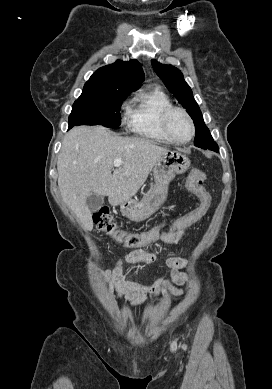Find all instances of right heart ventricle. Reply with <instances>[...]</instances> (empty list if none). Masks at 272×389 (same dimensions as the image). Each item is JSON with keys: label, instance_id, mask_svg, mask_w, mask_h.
Returning a JSON list of instances; mask_svg holds the SVG:
<instances>
[{"label": "right heart ventricle", "instance_id": "obj_1", "mask_svg": "<svg viewBox=\"0 0 272 389\" xmlns=\"http://www.w3.org/2000/svg\"><path fill=\"white\" fill-rule=\"evenodd\" d=\"M171 106L169 96L158 87L139 94L128 110V128L145 139L171 143L161 126V116Z\"/></svg>", "mask_w": 272, "mask_h": 389}]
</instances>
